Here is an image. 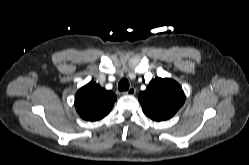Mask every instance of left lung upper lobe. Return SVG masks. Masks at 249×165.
Returning a JSON list of instances; mask_svg holds the SVG:
<instances>
[{
  "mask_svg": "<svg viewBox=\"0 0 249 165\" xmlns=\"http://www.w3.org/2000/svg\"><path fill=\"white\" fill-rule=\"evenodd\" d=\"M138 99L146 116L164 121L173 117L184 104L185 94L176 81L157 77L139 93Z\"/></svg>",
  "mask_w": 249,
  "mask_h": 165,
  "instance_id": "5c2ea615",
  "label": "left lung upper lobe"
}]
</instances>
